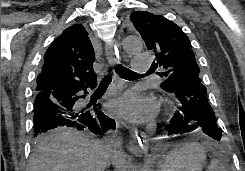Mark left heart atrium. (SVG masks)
Masks as SVG:
<instances>
[{"instance_id": "39dd6f15", "label": "left heart atrium", "mask_w": 245, "mask_h": 171, "mask_svg": "<svg viewBox=\"0 0 245 171\" xmlns=\"http://www.w3.org/2000/svg\"><path fill=\"white\" fill-rule=\"evenodd\" d=\"M112 107L122 117L137 123L150 120L157 112L153 97L138 89L126 91L113 102Z\"/></svg>"}]
</instances>
